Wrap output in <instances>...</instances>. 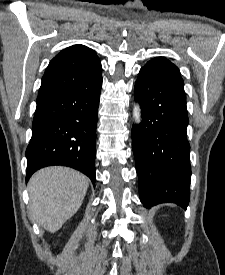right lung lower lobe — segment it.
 <instances>
[{
	"label": "right lung lower lobe",
	"mask_w": 225,
	"mask_h": 275,
	"mask_svg": "<svg viewBox=\"0 0 225 275\" xmlns=\"http://www.w3.org/2000/svg\"><path fill=\"white\" fill-rule=\"evenodd\" d=\"M102 76L85 90H68L37 99L32 138L26 150V181L40 168H75L95 183L97 111Z\"/></svg>",
	"instance_id": "right-lung-lower-lobe-1"
}]
</instances>
